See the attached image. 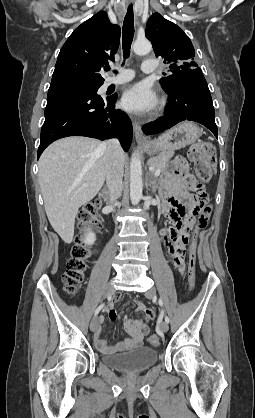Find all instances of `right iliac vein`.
Instances as JSON below:
<instances>
[{"instance_id": "right-iliac-vein-1", "label": "right iliac vein", "mask_w": 255, "mask_h": 418, "mask_svg": "<svg viewBox=\"0 0 255 418\" xmlns=\"http://www.w3.org/2000/svg\"><path fill=\"white\" fill-rule=\"evenodd\" d=\"M115 291L114 285L112 283H108L104 290V297H110L113 295ZM98 327V317H94L90 323V330L95 331Z\"/></svg>"}]
</instances>
